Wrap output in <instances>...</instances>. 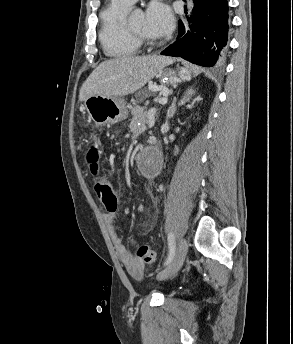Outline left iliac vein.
<instances>
[{
    "mask_svg": "<svg viewBox=\"0 0 293 344\" xmlns=\"http://www.w3.org/2000/svg\"><path fill=\"white\" fill-rule=\"evenodd\" d=\"M187 247L188 246L186 239L182 238L178 243V247L173 261L165 269L158 273V280H166L174 276L179 271L186 258Z\"/></svg>",
    "mask_w": 293,
    "mask_h": 344,
    "instance_id": "4c4485c4",
    "label": "left iliac vein"
}]
</instances>
